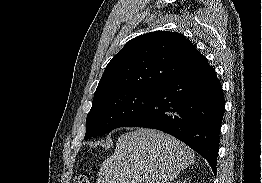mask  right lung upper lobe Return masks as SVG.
I'll list each match as a JSON object with an SVG mask.
<instances>
[{
	"instance_id": "cb5924a9",
	"label": "right lung upper lobe",
	"mask_w": 262,
	"mask_h": 183,
	"mask_svg": "<svg viewBox=\"0 0 262 183\" xmlns=\"http://www.w3.org/2000/svg\"><path fill=\"white\" fill-rule=\"evenodd\" d=\"M184 36L156 31L130 40L108 63L94 98L125 89H159L166 82L207 64Z\"/></svg>"
}]
</instances>
